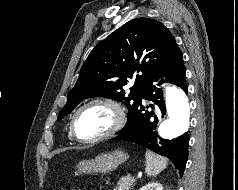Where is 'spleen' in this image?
<instances>
[{
    "label": "spleen",
    "mask_w": 238,
    "mask_h": 190,
    "mask_svg": "<svg viewBox=\"0 0 238 190\" xmlns=\"http://www.w3.org/2000/svg\"><path fill=\"white\" fill-rule=\"evenodd\" d=\"M146 158V169L145 172L148 176H156L161 171H163L167 167V159L157 155L149 150L146 151L145 154Z\"/></svg>",
    "instance_id": "3e777b00"
}]
</instances>
